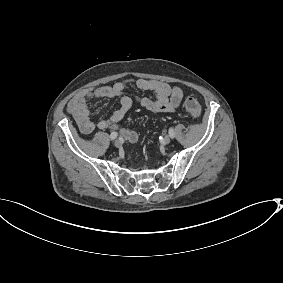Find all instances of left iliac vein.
Instances as JSON below:
<instances>
[{
  "mask_svg": "<svg viewBox=\"0 0 283 283\" xmlns=\"http://www.w3.org/2000/svg\"><path fill=\"white\" fill-rule=\"evenodd\" d=\"M171 141V137L169 135H165L164 138H163V142L165 144H169Z\"/></svg>",
  "mask_w": 283,
  "mask_h": 283,
  "instance_id": "obj_1",
  "label": "left iliac vein"
}]
</instances>
